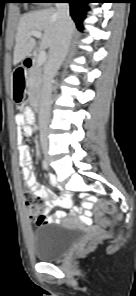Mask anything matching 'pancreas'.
Wrapping results in <instances>:
<instances>
[{
    "instance_id": "obj_1",
    "label": "pancreas",
    "mask_w": 136,
    "mask_h": 296,
    "mask_svg": "<svg viewBox=\"0 0 136 296\" xmlns=\"http://www.w3.org/2000/svg\"><path fill=\"white\" fill-rule=\"evenodd\" d=\"M27 86L31 101H36L41 93L42 86V69L39 66L36 65L28 70Z\"/></svg>"
}]
</instances>
